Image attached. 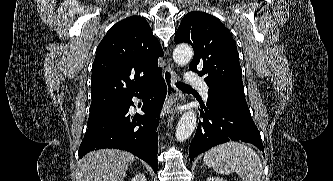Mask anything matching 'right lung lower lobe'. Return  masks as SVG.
I'll return each instance as SVG.
<instances>
[{
  "instance_id": "1",
  "label": "right lung lower lobe",
  "mask_w": 333,
  "mask_h": 181,
  "mask_svg": "<svg viewBox=\"0 0 333 181\" xmlns=\"http://www.w3.org/2000/svg\"><path fill=\"white\" fill-rule=\"evenodd\" d=\"M166 84L161 78L151 88L123 99L109 110L89 119L87 131L80 145L79 157L103 148L126 150L151 165L157 172V125L165 97ZM144 97L145 115L132 117L128 111L132 97ZM151 99V100H150Z\"/></svg>"
}]
</instances>
